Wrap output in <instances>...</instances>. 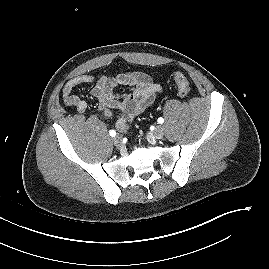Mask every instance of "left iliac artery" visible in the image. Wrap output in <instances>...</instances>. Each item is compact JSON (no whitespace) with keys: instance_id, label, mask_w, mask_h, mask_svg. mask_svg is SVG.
Returning <instances> with one entry per match:
<instances>
[{"instance_id":"left-iliac-artery-1","label":"left iliac artery","mask_w":269,"mask_h":269,"mask_svg":"<svg viewBox=\"0 0 269 269\" xmlns=\"http://www.w3.org/2000/svg\"><path fill=\"white\" fill-rule=\"evenodd\" d=\"M157 121H158L159 124H162L164 122V119L162 117H160V118H158Z\"/></svg>"}]
</instances>
